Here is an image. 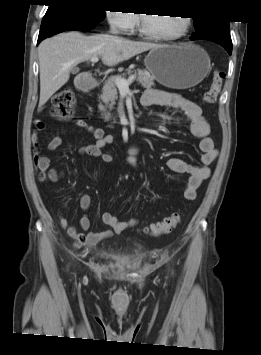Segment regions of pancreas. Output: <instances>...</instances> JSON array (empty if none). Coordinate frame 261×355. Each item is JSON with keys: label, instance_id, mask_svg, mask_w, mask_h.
<instances>
[{"label": "pancreas", "instance_id": "pancreas-1", "mask_svg": "<svg viewBox=\"0 0 261 355\" xmlns=\"http://www.w3.org/2000/svg\"><path fill=\"white\" fill-rule=\"evenodd\" d=\"M133 72L135 73V76H137V81L144 88H151L152 86H154V77L151 76L149 73L140 69L135 71L129 68L126 70V73L114 77H110L109 79H107L103 86L102 95L99 97L105 105H103L102 103L98 105L99 110L103 112L102 118L105 121H109L111 118V114L106 112V109L107 108L112 109L113 106L115 105V101L118 99L115 80L117 78L125 79L127 74L131 75ZM113 120H114L113 123H116V120L115 119Z\"/></svg>", "mask_w": 261, "mask_h": 355}]
</instances>
